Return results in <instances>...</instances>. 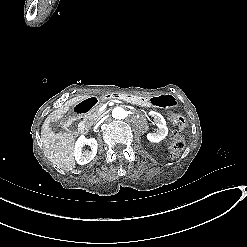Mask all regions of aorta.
I'll return each mask as SVG.
<instances>
[{"label":"aorta","instance_id":"obj_1","mask_svg":"<svg viewBox=\"0 0 247 247\" xmlns=\"http://www.w3.org/2000/svg\"><path fill=\"white\" fill-rule=\"evenodd\" d=\"M112 117L115 119H124L126 117V111L122 107H115L112 110Z\"/></svg>","mask_w":247,"mask_h":247}]
</instances>
